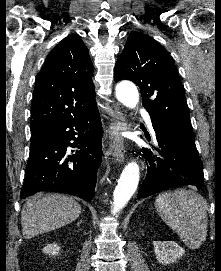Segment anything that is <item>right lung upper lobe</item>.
<instances>
[{"mask_svg":"<svg viewBox=\"0 0 221 271\" xmlns=\"http://www.w3.org/2000/svg\"><path fill=\"white\" fill-rule=\"evenodd\" d=\"M93 65L79 37L64 38L47 56L36 77L31 131L49 129L96 107Z\"/></svg>","mask_w":221,"mask_h":271,"instance_id":"cb5924a9","label":"right lung upper lobe"}]
</instances>
